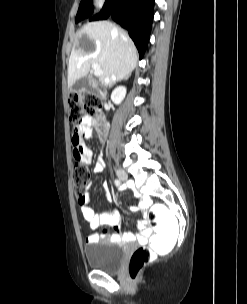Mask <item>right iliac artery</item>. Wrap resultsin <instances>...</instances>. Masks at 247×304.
Instances as JSON below:
<instances>
[{"instance_id":"1","label":"right iliac artery","mask_w":247,"mask_h":304,"mask_svg":"<svg viewBox=\"0 0 247 304\" xmlns=\"http://www.w3.org/2000/svg\"><path fill=\"white\" fill-rule=\"evenodd\" d=\"M115 185L118 187V186H120V181L119 180H115Z\"/></svg>"}]
</instances>
